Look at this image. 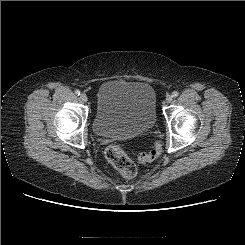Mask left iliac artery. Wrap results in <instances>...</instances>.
Listing matches in <instances>:
<instances>
[{"label":"left iliac artery","instance_id":"44dca946","mask_svg":"<svg viewBox=\"0 0 245 245\" xmlns=\"http://www.w3.org/2000/svg\"><path fill=\"white\" fill-rule=\"evenodd\" d=\"M179 95V93L177 92V91H174L173 93H172V96L175 98V97H177Z\"/></svg>","mask_w":245,"mask_h":245}]
</instances>
